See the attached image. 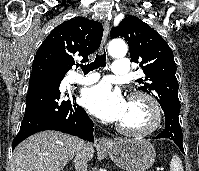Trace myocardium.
Returning a JSON list of instances; mask_svg holds the SVG:
<instances>
[{
    "label": "myocardium",
    "mask_w": 199,
    "mask_h": 171,
    "mask_svg": "<svg viewBox=\"0 0 199 171\" xmlns=\"http://www.w3.org/2000/svg\"><path fill=\"white\" fill-rule=\"evenodd\" d=\"M139 100L142 101L148 108L150 119L148 124L140 128H129L121 123L116 125V129L127 136L141 137L147 136L155 132L162 120V112L157 100L147 92L134 91L128 96V101Z\"/></svg>",
    "instance_id": "1"
}]
</instances>
